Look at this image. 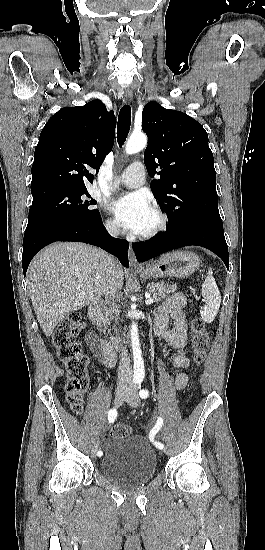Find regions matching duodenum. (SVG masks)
<instances>
[{
    "label": "duodenum",
    "mask_w": 265,
    "mask_h": 550,
    "mask_svg": "<svg viewBox=\"0 0 265 550\" xmlns=\"http://www.w3.org/2000/svg\"><path fill=\"white\" fill-rule=\"evenodd\" d=\"M102 301L98 300L88 307V321L97 337V344L103 349L124 350L129 345V339L123 336L105 337L101 334L100 311Z\"/></svg>",
    "instance_id": "obj_1"
}]
</instances>
